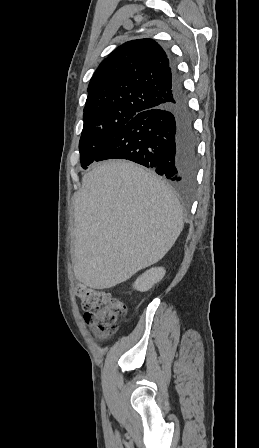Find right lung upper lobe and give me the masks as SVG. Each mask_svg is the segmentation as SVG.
Segmentation results:
<instances>
[{"label":"right lung upper lobe","instance_id":"cb5924a9","mask_svg":"<svg viewBox=\"0 0 259 448\" xmlns=\"http://www.w3.org/2000/svg\"><path fill=\"white\" fill-rule=\"evenodd\" d=\"M173 74L153 39L124 43L99 65L88 87L84 114L143 112L172 99Z\"/></svg>","mask_w":259,"mask_h":448}]
</instances>
